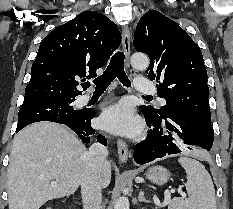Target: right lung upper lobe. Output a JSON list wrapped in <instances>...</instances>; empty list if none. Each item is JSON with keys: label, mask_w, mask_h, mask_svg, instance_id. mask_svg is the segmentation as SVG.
<instances>
[{"label": "right lung upper lobe", "mask_w": 233, "mask_h": 209, "mask_svg": "<svg viewBox=\"0 0 233 209\" xmlns=\"http://www.w3.org/2000/svg\"><path fill=\"white\" fill-rule=\"evenodd\" d=\"M120 42L118 27L100 13L85 11L58 26L40 43L23 103L75 99L82 93L76 80L96 77Z\"/></svg>", "instance_id": "cb5924a9"}]
</instances>
